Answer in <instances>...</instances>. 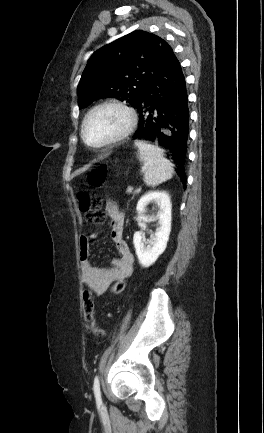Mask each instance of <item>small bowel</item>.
Here are the masks:
<instances>
[{
	"instance_id": "c3829d8e",
	"label": "small bowel",
	"mask_w": 264,
	"mask_h": 433,
	"mask_svg": "<svg viewBox=\"0 0 264 433\" xmlns=\"http://www.w3.org/2000/svg\"><path fill=\"white\" fill-rule=\"evenodd\" d=\"M105 210L111 222L110 236L119 253V257L113 260L112 267L100 268L94 266L90 261L91 237L81 236L79 239L82 281L94 295L103 294L113 282L127 279L132 273L134 263L133 254L123 238V214L112 201L106 202Z\"/></svg>"
}]
</instances>
